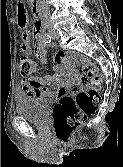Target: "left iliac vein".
I'll return each mask as SVG.
<instances>
[{
    "label": "left iliac vein",
    "mask_w": 123,
    "mask_h": 167,
    "mask_svg": "<svg viewBox=\"0 0 123 167\" xmlns=\"http://www.w3.org/2000/svg\"><path fill=\"white\" fill-rule=\"evenodd\" d=\"M51 35H52V38L54 40L58 39V37H59L58 34L55 31H51Z\"/></svg>",
    "instance_id": "obj_1"
}]
</instances>
